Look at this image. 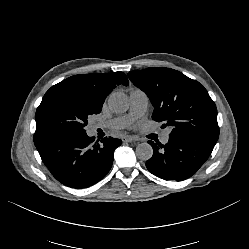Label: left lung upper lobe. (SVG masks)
<instances>
[{
    "label": "left lung upper lobe",
    "mask_w": 249,
    "mask_h": 249,
    "mask_svg": "<svg viewBox=\"0 0 249 249\" xmlns=\"http://www.w3.org/2000/svg\"><path fill=\"white\" fill-rule=\"evenodd\" d=\"M132 83L149 97L152 119L172 127L170 134H190L218 140L217 109L197 81L170 68H147L128 73Z\"/></svg>",
    "instance_id": "obj_1"
}]
</instances>
